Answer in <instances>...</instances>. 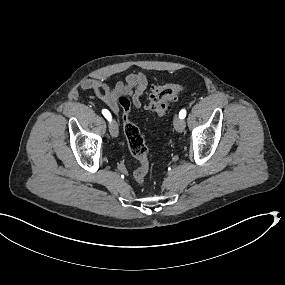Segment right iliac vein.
I'll return each instance as SVG.
<instances>
[{
    "instance_id": "63e3f726",
    "label": "right iliac vein",
    "mask_w": 285,
    "mask_h": 285,
    "mask_svg": "<svg viewBox=\"0 0 285 285\" xmlns=\"http://www.w3.org/2000/svg\"><path fill=\"white\" fill-rule=\"evenodd\" d=\"M109 129H110V133L112 137H118L119 134V130H118V125L117 122L115 120H113L112 122H110L109 124Z\"/></svg>"
}]
</instances>
